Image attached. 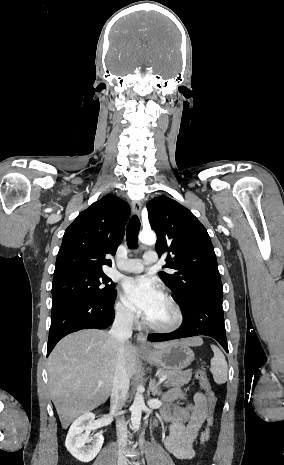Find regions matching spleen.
<instances>
[{
  "label": "spleen",
  "mask_w": 284,
  "mask_h": 465,
  "mask_svg": "<svg viewBox=\"0 0 284 465\" xmlns=\"http://www.w3.org/2000/svg\"><path fill=\"white\" fill-rule=\"evenodd\" d=\"M211 349L214 353L213 359H211V373L213 375V379L217 385H223L226 383L228 379V365L227 361L220 349L215 347V345H211Z\"/></svg>",
  "instance_id": "3e777b00"
}]
</instances>
